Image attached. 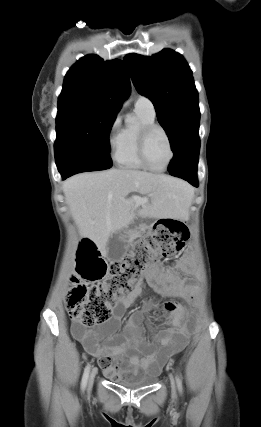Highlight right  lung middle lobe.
<instances>
[{
  "label": "right lung middle lobe",
  "mask_w": 261,
  "mask_h": 427,
  "mask_svg": "<svg viewBox=\"0 0 261 427\" xmlns=\"http://www.w3.org/2000/svg\"><path fill=\"white\" fill-rule=\"evenodd\" d=\"M116 114L71 108L56 117L55 160L58 170L67 166L110 168L109 132Z\"/></svg>",
  "instance_id": "right-lung-middle-lobe-1"
}]
</instances>
